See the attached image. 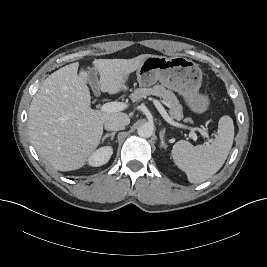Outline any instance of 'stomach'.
I'll use <instances>...</instances> for the list:
<instances>
[{
    "label": "stomach",
    "instance_id": "0dacf381",
    "mask_svg": "<svg viewBox=\"0 0 267 267\" xmlns=\"http://www.w3.org/2000/svg\"><path fill=\"white\" fill-rule=\"evenodd\" d=\"M136 74L142 87L152 86L159 81L163 86L178 92L195 113L202 114L209 107L208 96L199 94L202 71L190 59L147 55Z\"/></svg>",
    "mask_w": 267,
    "mask_h": 267
}]
</instances>
